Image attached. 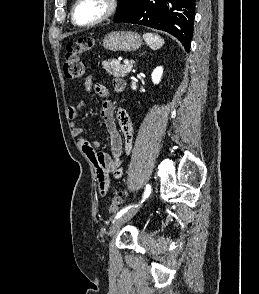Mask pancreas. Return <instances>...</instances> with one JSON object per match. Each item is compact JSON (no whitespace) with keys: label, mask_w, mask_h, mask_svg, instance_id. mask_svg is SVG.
Masks as SVG:
<instances>
[{"label":"pancreas","mask_w":259,"mask_h":294,"mask_svg":"<svg viewBox=\"0 0 259 294\" xmlns=\"http://www.w3.org/2000/svg\"><path fill=\"white\" fill-rule=\"evenodd\" d=\"M102 66L106 72L114 77H125L132 70V63L128 65H122L119 61L112 59L108 61H103Z\"/></svg>","instance_id":"pancreas-1"}]
</instances>
